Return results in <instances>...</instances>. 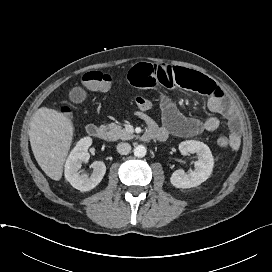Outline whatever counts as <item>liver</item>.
<instances>
[{"label": "liver", "instance_id": "6515ba94", "mask_svg": "<svg viewBox=\"0 0 272 272\" xmlns=\"http://www.w3.org/2000/svg\"><path fill=\"white\" fill-rule=\"evenodd\" d=\"M74 134L70 119L57 110L41 107L30 122V144L44 173L55 181L62 178L63 166Z\"/></svg>", "mask_w": 272, "mask_h": 272}]
</instances>
